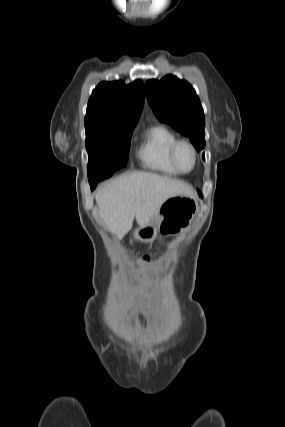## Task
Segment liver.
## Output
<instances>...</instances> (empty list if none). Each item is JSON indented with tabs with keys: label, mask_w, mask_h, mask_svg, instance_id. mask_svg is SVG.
<instances>
[{
	"label": "liver",
	"mask_w": 285,
	"mask_h": 427,
	"mask_svg": "<svg viewBox=\"0 0 285 427\" xmlns=\"http://www.w3.org/2000/svg\"><path fill=\"white\" fill-rule=\"evenodd\" d=\"M177 195L193 198L195 193L170 177L133 172L105 184L95 200L106 228L121 239L132 229L134 218L140 227L148 225L161 206Z\"/></svg>",
	"instance_id": "obj_1"
}]
</instances>
